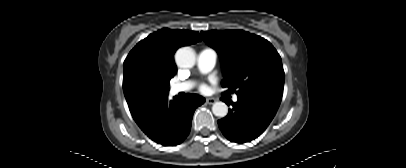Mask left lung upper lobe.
Instances as JSON below:
<instances>
[{
	"mask_svg": "<svg viewBox=\"0 0 406 168\" xmlns=\"http://www.w3.org/2000/svg\"><path fill=\"white\" fill-rule=\"evenodd\" d=\"M222 62V87L238 97H265L281 102L285 74L281 57L270 42L242 30L202 32Z\"/></svg>",
	"mask_w": 406,
	"mask_h": 168,
	"instance_id": "obj_1",
	"label": "left lung upper lobe"
}]
</instances>
